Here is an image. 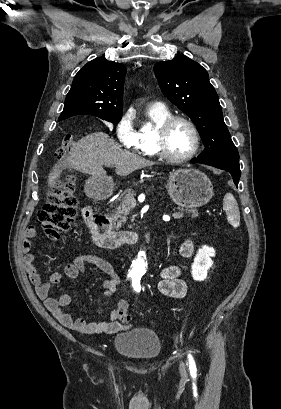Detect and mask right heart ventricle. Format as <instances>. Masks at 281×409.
<instances>
[{
	"mask_svg": "<svg viewBox=\"0 0 281 409\" xmlns=\"http://www.w3.org/2000/svg\"><path fill=\"white\" fill-rule=\"evenodd\" d=\"M148 114L151 118L152 126L150 128H140L136 132L133 149L145 156H157L153 143V130L156 126L170 117L171 113L166 109H150Z\"/></svg>",
	"mask_w": 281,
	"mask_h": 409,
	"instance_id": "obj_1",
	"label": "right heart ventricle"
}]
</instances>
